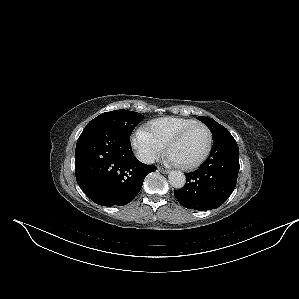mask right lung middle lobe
<instances>
[{
  "label": "right lung middle lobe",
  "mask_w": 299,
  "mask_h": 299,
  "mask_svg": "<svg viewBox=\"0 0 299 299\" xmlns=\"http://www.w3.org/2000/svg\"><path fill=\"white\" fill-rule=\"evenodd\" d=\"M144 119V116L140 113L127 111V110H115L111 112H105L91 120L89 123H104L116 128L124 135L130 137L133 129L137 124Z\"/></svg>",
  "instance_id": "right-lung-middle-lobe-1"
}]
</instances>
